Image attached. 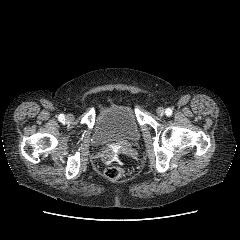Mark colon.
Listing matches in <instances>:
<instances>
[{
  "label": "colon",
  "instance_id": "1",
  "mask_svg": "<svg viewBox=\"0 0 240 240\" xmlns=\"http://www.w3.org/2000/svg\"><path fill=\"white\" fill-rule=\"evenodd\" d=\"M104 174L108 179L116 181L125 176V170L121 167L118 159H112L107 164Z\"/></svg>",
  "mask_w": 240,
  "mask_h": 240
}]
</instances>
